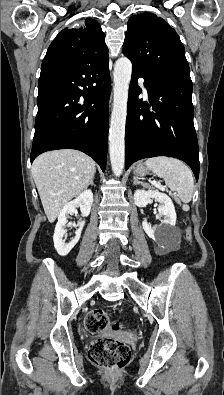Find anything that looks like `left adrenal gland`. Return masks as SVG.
<instances>
[{"instance_id": "a2214340", "label": "left adrenal gland", "mask_w": 224, "mask_h": 395, "mask_svg": "<svg viewBox=\"0 0 224 395\" xmlns=\"http://www.w3.org/2000/svg\"><path fill=\"white\" fill-rule=\"evenodd\" d=\"M133 180H134V182H133L134 185L141 184L143 186H147L146 183L139 181V179L137 177H133Z\"/></svg>"}]
</instances>
